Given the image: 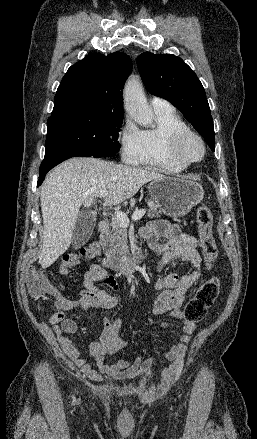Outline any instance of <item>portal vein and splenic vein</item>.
<instances>
[{
    "label": "portal vein and splenic vein",
    "mask_w": 257,
    "mask_h": 439,
    "mask_svg": "<svg viewBox=\"0 0 257 439\" xmlns=\"http://www.w3.org/2000/svg\"><path fill=\"white\" fill-rule=\"evenodd\" d=\"M107 195H108L107 190H102L98 194V196L100 198L106 197ZM145 213H146V209L136 210L134 212V214L132 215V220H134V221L139 220L140 218H142L145 215ZM114 215H115V219L120 224V226L125 227V228L129 226V219L123 211H116L114 213Z\"/></svg>",
    "instance_id": "1"
}]
</instances>
